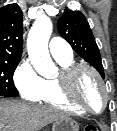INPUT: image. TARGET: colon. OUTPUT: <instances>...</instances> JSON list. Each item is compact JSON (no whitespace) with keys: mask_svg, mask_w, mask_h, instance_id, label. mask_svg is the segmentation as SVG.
<instances>
[{"mask_svg":"<svg viewBox=\"0 0 117 131\" xmlns=\"http://www.w3.org/2000/svg\"><path fill=\"white\" fill-rule=\"evenodd\" d=\"M84 131H100L95 125H88L85 127Z\"/></svg>","mask_w":117,"mask_h":131,"instance_id":"obj_1","label":"colon"}]
</instances>
